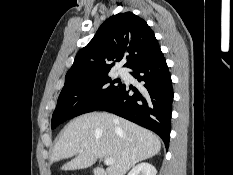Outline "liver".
Segmentation results:
<instances>
[{"label": "liver", "mask_w": 233, "mask_h": 175, "mask_svg": "<svg viewBox=\"0 0 233 175\" xmlns=\"http://www.w3.org/2000/svg\"><path fill=\"white\" fill-rule=\"evenodd\" d=\"M161 149L160 139L151 131L109 113L92 112L70 121L56 142L52 161L75 156L62 170L92 166L98 158L115 162L108 175H125L136 163L151 158Z\"/></svg>", "instance_id": "liver-1"}]
</instances>
